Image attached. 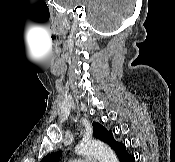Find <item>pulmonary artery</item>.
<instances>
[{"label":"pulmonary artery","instance_id":"obj_1","mask_svg":"<svg viewBox=\"0 0 175 162\" xmlns=\"http://www.w3.org/2000/svg\"><path fill=\"white\" fill-rule=\"evenodd\" d=\"M71 162H97V160L92 158H85V159H76Z\"/></svg>","mask_w":175,"mask_h":162}]
</instances>
